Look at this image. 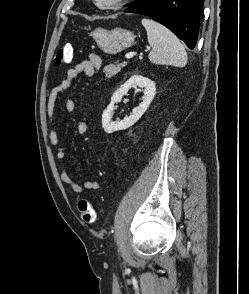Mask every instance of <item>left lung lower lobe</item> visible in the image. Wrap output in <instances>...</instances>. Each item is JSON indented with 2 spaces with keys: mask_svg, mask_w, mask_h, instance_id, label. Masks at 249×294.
Masks as SVG:
<instances>
[{
  "mask_svg": "<svg viewBox=\"0 0 249 294\" xmlns=\"http://www.w3.org/2000/svg\"><path fill=\"white\" fill-rule=\"evenodd\" d=\"M204 0H136L125 12L149 16L170 29L193 49Z\"/></svg>",
  "mask_w": 249,
  "mask_h": 294,
  "instance_id": "obj_1",
  "label": "left lung lower lobe"
}]
</instances>
